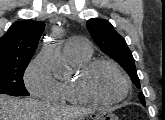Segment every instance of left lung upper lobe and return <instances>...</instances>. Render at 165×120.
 <instances>
[{
  "label": "left lung upper lobe",
  "instance_id": "1",
  "mask_svg": "<svg viewBox=\"0 0 165 120\" xmlns=\"http://www.w3.org/2000/svg\"><path fill=\"white\" fill-rule=\"evenodd\" d=\"M87 28L100 49L118 62L129 74L132 82L140 88V80L132 53L124 38L115 31L112 24L104 19H90L87 22ZM138 97L145 105V97L142 92L139 93Z\"/></svg>",
  "mask_w": 165,
  "mask_h": 120
}]
</instances>
